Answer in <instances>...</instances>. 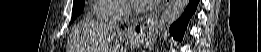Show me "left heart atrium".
<instances>
[{"label":"left heart atrium","instance_id":"1","mask_svg":"<svg viewBox=\"0 0 261 52\" xmlns=\"http://www.w3.org/2000/svg\"><path fill=\"white\" fill-rule=\"evenodd\" d=\"M132 2L134 3L136 9L148 10L154 8L159 1L158 0H132Z\"/></svg>","mask_w":261,"mask_h":52}]
</instances>
